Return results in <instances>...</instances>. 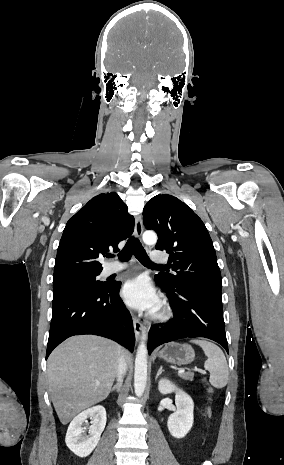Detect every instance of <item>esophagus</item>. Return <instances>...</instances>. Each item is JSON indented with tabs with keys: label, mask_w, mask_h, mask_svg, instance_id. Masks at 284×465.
<instances>
[{
	"label": "esophagus",
	"mask_w": 284,
	"mask_h": 465,
	"mask_svg": "<svg viewBox=\"0 0 284 465\" xmlns=\"http://www.w3.org/2000/svg\"><path fill=\"white\" fill-rule=\"evenodd\" d=\"M143 233V222L141 215H138L135 219L134 235L136 238H141ZM133 326L136 339L139 340L141 333L143 332V325L140 320L136 317L133 318Z\"/></svg>",
	"instance_id": "esophagus-1"
}]
</instances>
